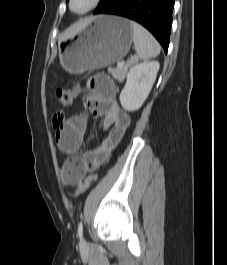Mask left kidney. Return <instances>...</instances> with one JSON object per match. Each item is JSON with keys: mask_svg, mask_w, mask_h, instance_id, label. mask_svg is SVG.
Instances as JSON below:
<instances>
[{"mask_svg": "<svg viewBox=\"0 0 227 265\" xmlns=\"http://www.w3.org/2000/svg\"><path fill=\"white\" fill-rule=\"evenodd\" d=\"M159 67V62L148 61L130 68L126 84L120 93V103L126 111L141 108L152 89Z\"/></svg>", "mask_w": 227, "mask_h": 265, "instance_id": "5707ae66", "label": "left kidney"}]
</instances>
